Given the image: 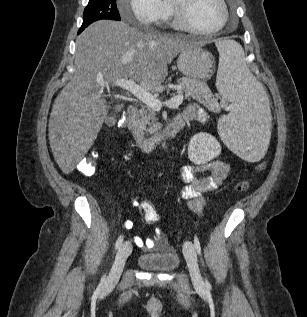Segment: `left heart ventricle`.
<instances>
[{
  "mask_svg": "<svg viewBox=\"0 0 307 317\" xmlns=\"http://www.w3.org/2000/svg\"><path fill=\"white\" fill-rule=\"evenodd\" d=\"M188 17L196 28L211 30L221 22L222 8L218 0H191Z\"/></svg>",
  "mask_w": 307,
  "mask_h": 317,
  "instance_id": "1",
  "label": "left heart ventricle"
}]
</instances>
